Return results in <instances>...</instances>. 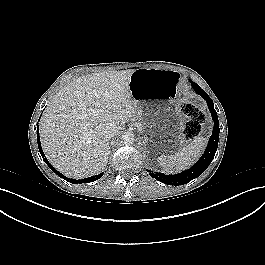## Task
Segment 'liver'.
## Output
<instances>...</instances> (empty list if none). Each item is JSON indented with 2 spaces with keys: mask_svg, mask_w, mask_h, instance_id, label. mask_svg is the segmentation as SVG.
Returning a JSON list of instances; mask_svg holds the SVG:
<instances>
[{
  "mask_svg": "<svg viewBox=\"0 0 265 265\" xmlns=\"http://www.w3.org/2000/svg\"><path fill=\"white\" fill-rule=\"evenodd\" d=\"M134 70L87 75L61 88L42 116L40 137L50 163L68 177L85 178L102 171L110 153L104 124L117 131L136 116L129 89Z\"/></svg>",
  "mask_w": 265,
  "mask_h": 265,
  "instance_id": "liver-1",
  "label": "liver"
}]
</instances>
